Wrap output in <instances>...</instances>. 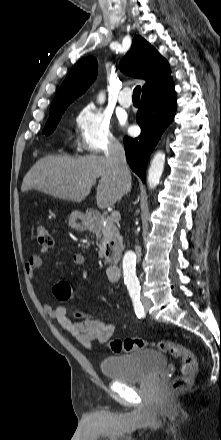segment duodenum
Wrapping results in <instances>:
<instances>
[{
  "label": "duodenum",
  "mask_w": 221,
  "mask_h": 440,
  "mask_svg": "<svg viewBox=\"0 0 221 440\" xmlns=\"http://www.w3.org/2000/svg\"><path fill=\"white\" fill-rule=\"evenodd\" d=\"M101 220L100 215L95 213L88 214V221L91 226H96ZM122 271L116 264H110L107 268V276L111 281L117 282L121 279Z\"/></svg>",
  "instance_id": "1"
}]
</instances>
